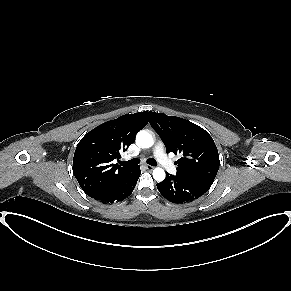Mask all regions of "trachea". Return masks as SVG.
Returning <instances> with one entry per match:
<instances>
[{"mask_svg":"<svg viewBox=\"0 0 291 291\" xmlns=\"http://www.w3.org/2000/svg\"><path fill=\"white\" fill-rule=\"evenodd\" d=\"M140 163V160L139 159H132V160H129V161H125V162H121L122 165H126V166H135V165H138ZM147 163L151 166H156L157 165V162L156 160L152 159V158H149L147 159Z\"/></svg>","mask_w":291,"mask_h":291,"instance_id":"1","label":"trachea"}]
</instances>
